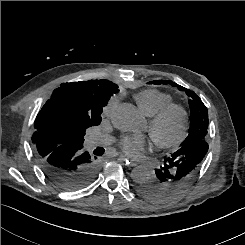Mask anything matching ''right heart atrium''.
Segmentation results:
<instances>
[{"mask_svg": "<svg viewBox=\"0 0 245 245\" xmlns=\"http://www.w3.org/2000/svg\"><path fill=\"white\" fill-rule=\"evenodd\" d=\"M116 104H117V100L114 99V98L111 99V100L109 101V103H108L106 109H105L106 114L109 115V114L113 111V109H114V107L116 106Z\"/></svg>", "mask_w": 245, "mask_h": 245, "instance_id": "d8ad5b80", "label": "right heart atrium"}]
</instances>
